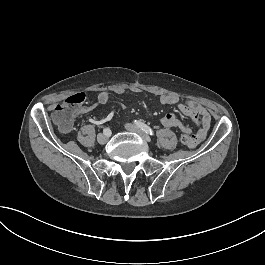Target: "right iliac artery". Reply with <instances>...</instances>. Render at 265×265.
<instances>
[{
  "mask_svg": "<svg viewBox=\"0 0 265 265\" xmlns=\"http://www.w3.org/2000/svg\"><path fill=\"white\" fill-rule=\"evenodd\" d=\"M103 132H104V134H106V135H108V136L111 135V131H110V129H108V128L104 129Z\"/></svg>",
  "mask_w": 265,
  "mask_h": 265,
  "instance_id": "obj_1",
  "label": "right iliac artery"
}]
</instances>
